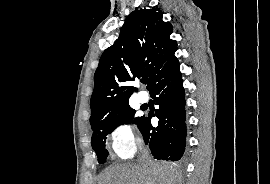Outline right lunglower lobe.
<instances>
[{
    "label": "right lung lower lobe",
    "mask_w": 270,
    "mask_h": 184,
    "mask_svg": "<svg viewBox=\"0 0 270 184\" xmlns=\"http://www.w3.org/2000/svg\"><path fill=\"white\" fill-rule=\"evenodd\" d=\"M159 109L155 116L158 127L151 125L150 117H143L139 130L155 159L179 160L185 149V93L179 62L158 78L149 90Z\"/></svg>",
    "instance_id": "1"
}]
</instances>
